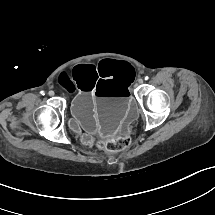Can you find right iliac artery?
I'll return each mask as SVG.
<instances>
[{
    "label": "right iliac artery",
    "mask_w": 215,
    "mask_h": 215,
    "mask_svg": "<svg viewBox=\"0 0 215 215\" xmlns=\"http://www.w3.org/2000/svg\"><path fill=\"white\" fill-rule=\"evenodd\" d=\"M40 93H41L42 95H45V92H44V91H41Z\"/></svg>",
    "instance_id": "1"
}]
</instances>
